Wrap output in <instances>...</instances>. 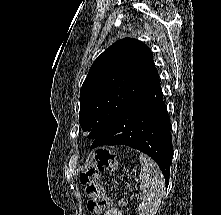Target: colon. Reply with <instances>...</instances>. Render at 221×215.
I'll return each instance as SVG.
<instances>
[{
  "label": "colon",
  "mask_w": 221,
  "mask_h": 215,
  "mask_svg": "<svg viewBox=\"0 0 221 215\" xmlns=\"http://www.w3.org/2000/svg\"><path fill=\"white\" fill-rule=\"evenodd\" d=\"M115 165V156L109 150L96 149L90 165L81 173L80 182L89 198L87 207L90 212L102 215L109 209L111 202L100 184V173Z\"/></svg>",
  "instance_id": "5ec220e1"
}]
</instances>
